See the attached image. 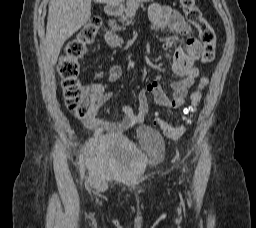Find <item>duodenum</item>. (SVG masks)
<instances>
[{
    "label": "duodenum",
    "instance_id": "410a0bca",
    "mask_svg": "<svg viewBox=\"0 0 256 228\" xmlns=\"http://www.w3.org/2000/svg\"><path fill=\"white\" fill-rule=\"evenodd\" d=\"M105 11L108 16L114 17L120 13L121 8L119 5L115 3H109L105 6ZM105 38H106V41L111 45H114L118 41V38L112 33H107Z\"/></svg>",
    "mask_w": 256,
    "mask_h": 228
}]
</instances>
